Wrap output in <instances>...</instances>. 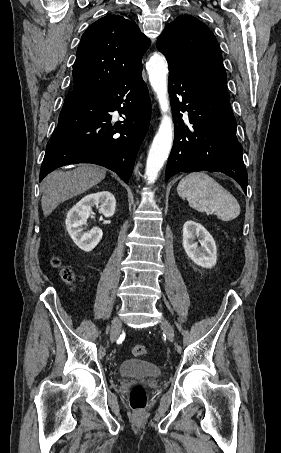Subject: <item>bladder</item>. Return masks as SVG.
Here are the masks:
<instances>
[{
    "mask_svg": "<svg viewBox=\"0 0 281 453\" xmlns=\"http://www.w3.org/2000/svg\"><path fill=\"white\" fill-rule=\"evenodd\" d=\"M119 374L125 377L157 378L161 375L158 367L144 361L127 360L120 364Z\"/></svg>",
    "mask_w": 281,
    "mask_h": 453,
    "instance_id": "1",
    "label": "bladder"
}]
</instances>
